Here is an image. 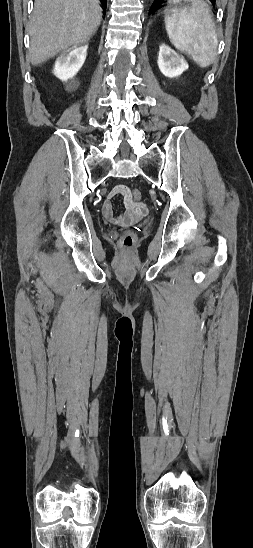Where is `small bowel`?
<instances>
[{
    "mask_svg": "<svg viewBox=\"0 0 253 548\" xmlns=\"http://www.w3.org/2000/svg\"><path fill=\"white\" fill-rule=\"evenodd\" d=\"M116 196L124 198L125 211L120 215H114L111 199ZM102 213L109 222L125 226L135 223L146 215L147 207L142 202H135L130 194V190L125 185H117L108 193L107 200L103 203Z\"/></svg>",
    "mask_w": 253,
    "mask_h": 548,
    "instance_id": "1",
    "label": "small bowel"
}]
</instances>
